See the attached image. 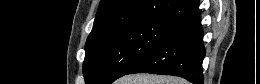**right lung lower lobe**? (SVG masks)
I'll use <instances>...</instances> for the list:
<instances>
[{"label": "right lung lower lobe", "mask_w": 260, "mask_h": 84, "mask_svg": "<svg viewBox=\"0 0 260 84\" xmlns=\"http://www.w3.org/2000/svg\"><path fill=\"white\" fill-rule=\"evenodd\" d=\"M205 56L199 9L173 25L169 33L126 74L153 73L179 76L203 84Z\"/></svg>", "instance_id": "1"}]
</instances>
